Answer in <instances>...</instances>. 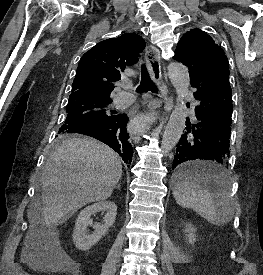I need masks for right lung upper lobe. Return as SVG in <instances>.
<instances>
[{"instance_id":"cb5924a9","label":"right lung upper lobe","mask_w":263,"mask_h":275,"mask_svg":"<svg viewBox=\"0 0 263 275\" xmlns=\"http://www.w3.org/2000/svg\"><path fill=\"white\" fill-rule=\"evenodd\" d=\"M144 48V39L135 33L99 42L81 58L70 96L93 94L110 98L113 82L121 78L120 71L137 63Z\"/></svg>"}]
</instances>
